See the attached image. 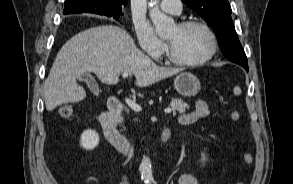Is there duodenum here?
Here are the masks:
<instances>
[{"instance_id":"1","label":"duodenum","mask_w":293,"mask_h":184,"mask_svg":"<svg viewBox=\"0 0 293 184\" xmlns=\"http://www.w3.org/2000/svg\"><path fill=\"white\" fill-rule=\"evenodd\" d=\"M122 107L123 102L119 97H110L107 103V111L100 115L99 121L108 141L121 153L129 155L131 144L116 127V122L121 114ZM169 137V129L163 128L159 133L158 142L165 143L168 141Z\"/></svg>"}]
</instances>
